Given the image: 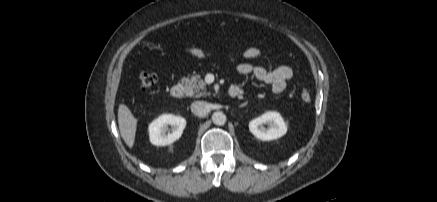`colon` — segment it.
<instances>
[{"label": "colon", "instance_id": "obj_1", "mask_svg": "<svg viewBox=\"0 0 437 202\" xmlns=\"http://www.w3.org/2000/svg\"><path fill=\"white\" fill-rule=\"evenodd\" d=\"M157 82V77L153 73L142 72L138 76L139 88L141 91L146 92L154 87ZM300 99L304 104H308L311 101V93L308 89H302L300 93Z\"/></svg>", "mask_w": 437, "mask_h": 202}]
</instances>
